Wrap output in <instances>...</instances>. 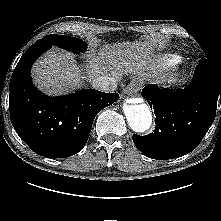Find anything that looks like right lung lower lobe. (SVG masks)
I'll list each match as a JSON object with an SVG mask.
<instances>
[{"mask_svg": "<svg viewBox=\"0 0 221 221\" xmlns=\"http://www.w3.org/2000/svg\"><path fill=\"white\" fill-rule=\"evenodd\" d=\"M51 47L48 42L37 41L18 62L10 80V119L18 135L36 154L64 158L83 149L96 115L119 95L84 89L49 97L37 90L30 68Z\"/></svg>", "mask_w": 221, "mask_h": 221, "instance_id": "right-lung-lower-lobe-1", "label": "right lung lower lobe"}]
</instances>
